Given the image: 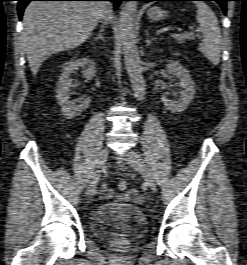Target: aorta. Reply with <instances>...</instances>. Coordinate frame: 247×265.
I'll list each match as a JSON object with an SVG mask.
<instances>
[{"instance_id":"obj_1","label":"aorta","mask_w":247,"mask_h":265,"mask_svg":"<svg viewBox=\"0 0 247 265\" xmlns=\"http://www.w3.org/2000/svg\"><path fill=\"white\" fill-rule=\"evenodd\" d=\"M136 12V1H128L123 5L119 20V34L126 70L132 84L133 95L138 101H141L145 96L146 82L142 75L141 61L136 45Z\"/></svg>"}]
</instances>
